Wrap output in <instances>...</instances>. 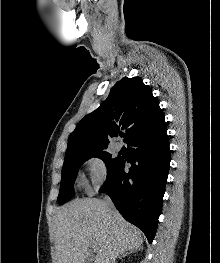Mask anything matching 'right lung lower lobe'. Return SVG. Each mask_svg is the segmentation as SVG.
I'll return each mask as SVG.
<instances>
[{"label": "right lung lower lobe", "mask_w": 220, "mask_h": 263, "mask_svg": "<svg viewBox=\"0 0 220 263\" xmlns=\"http://www.w3.org/2000/svg\"><path fill=\"white\" fill-rule=\"evenodd\" d=\"M128 159L119 157L107 171L100 192L107 193L121 215L140 228L149 243L154 239L170 166L167 129L142 134L127 143ZM131 163L129 172L125 163Z\"/></svg>", "instance_id": "98d812e1"}]
</instances>
